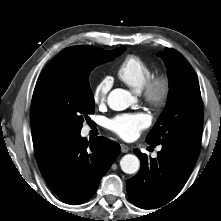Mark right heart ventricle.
Wrapping results in <instances>:
<instances>
[{"instance_id":"obj_1","label":"right heart ventricle","mask_w":221,"mask_h":221,"mask_svg":"<svg viewBox=\"0 0 221 221\" xmlns=\"http://www.w3.org/2000/svg\"><path fill=\"white\" fill-rule=\"evenodd\" d=\"M152 66L142 57L129 55L124 58L117 69L121 81L140 92L145 82L152 76Z\"/></svg>"}]
</instances>
